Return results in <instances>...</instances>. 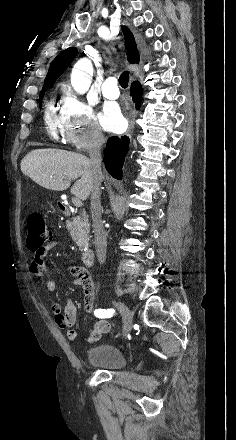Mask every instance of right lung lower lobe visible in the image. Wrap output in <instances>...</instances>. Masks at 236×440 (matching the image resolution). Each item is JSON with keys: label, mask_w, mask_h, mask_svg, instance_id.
Wrapping results in <instances>:
<instances>
[{"label": "right lung lower lobe", "mask_w": 236, "mask_h": 440, "mask_svg": "<svg viewBox=\"0 0 236 440\" xmlns=\"http://www.w3.org/2000/svg\"><path fill=\"white\" fill-rule=\"evenodd\" d=\"M130 94L133 98L136 109H138L140 107L142 96V87L139 82L135 81L131 84ZM128 148L129 138L126 136H122L121 138L113 136L107 141L103 160L109 174L116 179H122V167Z\"/></svg>", "instance_id": "1"}]
</instances>
